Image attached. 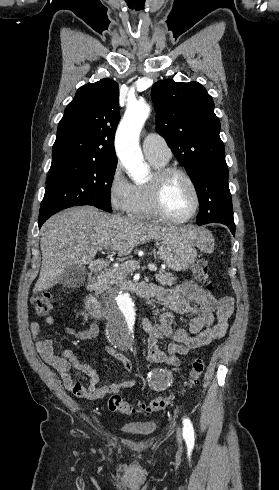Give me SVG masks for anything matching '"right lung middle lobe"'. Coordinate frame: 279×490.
Wrapping results in <instances>:
<instances>
[{
  "mask_svg": "<svg viewBox=\"0 0 279 490\" xmlns=\"http://www.w3.org/2000/svg\"><path fill=\"white\" fill-rule=\"evenodd\" d=\"M117 159H77L51 164L39 219L73 206L112 212L110 189Z\"/></svg>",
  "mask_w": 279,
  "mask_h": 490,
  "instance_id": "obj_1",
  "label": "right lung middle lobe"
}]
</instances>
